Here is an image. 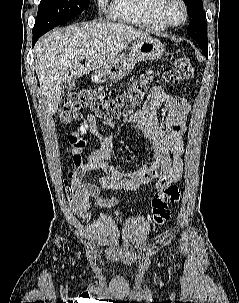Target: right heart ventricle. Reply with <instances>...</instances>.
Segmentation results:
<instances>
[{
	"label": "right heart ventricle",
	"mask_w": 239,
	"mask_h": 303,
	"mask_svg": "<svg viewBox=\"0 0 239 303\" xmlns=\"http://www.w3.org/2000/svg\"><path fill=\"white\" fill-rule=\"evenodd\" d=\"M155 0H112L110 15L114 19L151 31L166 29L153 12Z\"/></svg>",
	"instance_id": "e07e8e85"
}]
</instances>
